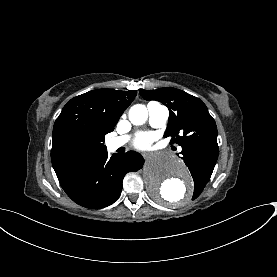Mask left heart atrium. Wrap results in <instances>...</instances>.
I'll use <instances>...</instances> for the list:
<instances>
[{
    "instance_id": "obj_1",
    "label": "left heart atrium",
    "mask_w": 277,
    "mask_h": 277,
    "mask_svg": "<svg viewBox=\"0 0 277 277\" xmlns=\"http://www.w3.org/2000/svg\"><path fill=\"white\" fill-rule=\"evenodd\" d=\"M152 144V137L148 133H140L137 135L133 145L139 150H149Z\"/></svg>"
}]
</instances>
